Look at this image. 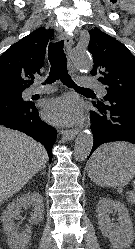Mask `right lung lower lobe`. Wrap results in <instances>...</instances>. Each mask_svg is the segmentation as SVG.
<instances>
[{
  "label": "right lung lower lobe",
  "mask_w": 135,
  "mask_h": 249,
  "mask_svg": "<svg viewBox=\"0 0 135 249\" xmlns=\"http://www.w3.org/2000/svg\"><path fill=\"white\" fill-rule=\"evenodd\" d=\"M0 125L19 130L41 142L51 161L57 132L39 118L34 103L0 95Z\"/></svg>",
  "instance_id": "1"
}]
</instances>
